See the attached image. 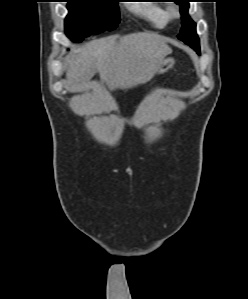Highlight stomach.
Here are the masks:
<instances>
[{"instance_id": "stomach-1", "label": "stomach", "mask_w": 248, "mask_h": 299, "mask_svg": "<svg viewBox=\"0 0 248 299\" xmlns=\"http://www.w3.org/2000/svg\"><path fill=\"white\" fill-rule=\"evenodd\" d=\"M175 64V59L174 58H166L163 60L161 65L159 66L157 73L158 74H163L170 70Z\"/></svg>"}]
</instances>
